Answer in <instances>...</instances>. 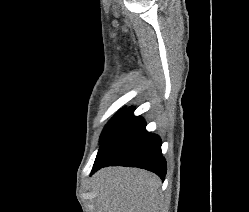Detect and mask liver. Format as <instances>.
I'll use <instances>...</instances> for the list:
<instances>
[{
    "mask_svg": "<svg viewBox=\"0 0 249 212\" xmlns=\"http://www.w3.org/2000/svg\"><path fill=\"white\" fill-rule=\"evenodd\" d=\"M160 186L158 176L139 168L109 166L92 178L99 212H156L163 200Z\"/></svg>",
    "mask_w": 249,
    "mask_h": 212,
    "instance_id": "1",
    "label": "liver"
}]
</instances>
